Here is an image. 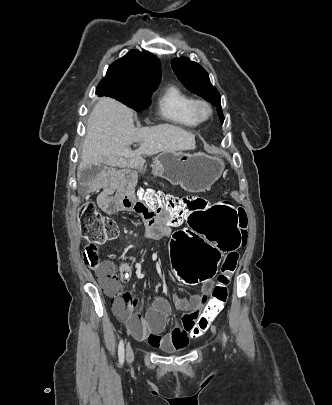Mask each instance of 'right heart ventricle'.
<instances>
[{
  "label": "right heart ventricle",
  "instance_id": "1",
  "mask_svg": "<svg viewBox=\"0 0 332 405\" xmlns=\"http://www.w3.org/2000/svg\"><path fill=\"white\" fill-rule=\"evenodd\" d=\"M194 98L176 85L166 87L158 96L159 115L167 122L194 127L200 124L192 113Z\"/></svg>",
  "mask_w": 332,
  "mask_h": 405
}]
</instances>
